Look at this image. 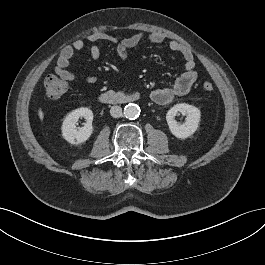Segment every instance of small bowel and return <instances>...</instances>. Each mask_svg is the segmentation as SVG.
Returning <instances> with one entry per match:
<instances>
[{
	"label": "small bowel",
	"mask_w": 265,
	"mask_h": 265,
	"mask_svg": "<svg viewBox=\"0 0 265 265\" xmlns=\"http://www.w3.org/2000/svg\"><path fill=\"white\" fill-rule=\"evenodd\" d=\"M87 40L92 43L90 47V56L93 60H98L101 56V49L98 42L104 41L116 44V52L121 60H126L131 49L138 46L143 41H149L154 44H161L166 41V37L159 32L145 34L144 32H137L128 38L121 41L112 34L106 32H95L87 36ZM84 48L82 40H75L71 45L64 47L59 55L55 66V73L62 79L67 81H75L78 79L77 75L70 70L71 60L76 51ZM168 48L170 51L179 53L184 60V72L176 78V80L167 86H162L154 89L151 93L152 100L158 105H167L173 102L177 97L187 94L192 88L193 84L198 79L196 71V64L192 50L176 40L168 41ZM82 80L87 84H93L97 81V75H89Z\"/></svg>",
	"instance_id": "c3829d8e"
}]
</instances>
